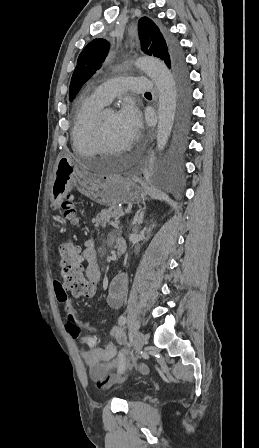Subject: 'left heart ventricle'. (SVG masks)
Returning a JSON list of instances; mask_svg holds the SVG:
<instances>
[{
  "instance_id": "b2bd125f",
  "label": "left heart ventricle",
  "mask_w": 259,
  "mask_h": 448,
  "mask_svg": "<svg viewBox=\"0 0 259 448\" xmlns=\"http://www.w3.org/2000/svg\"><path fill=\"white\" fill-rule=\"evenodd\" d=\"M105 128L109 143L117 150H121L128 146L129 135L117 120V114L111 110H107L105 114ZM116 151V152H117ZM84 160L87 157L101 155L99 150H79L77 152Z\"/></svg>"
}]
</instances>
